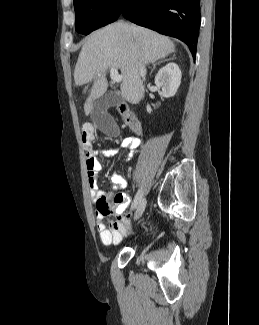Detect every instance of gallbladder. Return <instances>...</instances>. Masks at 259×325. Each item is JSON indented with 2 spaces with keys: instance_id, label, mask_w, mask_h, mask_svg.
<instances>
[{
  "instance_id": "gallbladder-1",
  "label": "gallbladder",
  "mask_w": 259,
  "mask_h": 325,
  "mask_svg": "<svg viewBox=\"0 0 259 325\" xmlns=\"http://www.w3.org/2000/svg\"><path fill=\"white\" fill-rule=\"evenodd\" d=\"M122 97L117 92H109L99 98L95 103L91 113V119L96 127L104 132L110 139H119L118 122L107 113L108 108L118 105Z\"/></svg>"
}]
</instances>
